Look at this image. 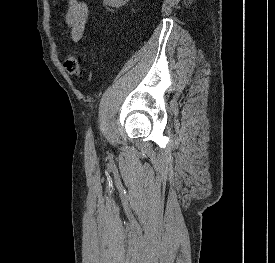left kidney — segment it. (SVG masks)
Wrapping results in <instances>:
<instances>
[{
    "mask_svg": "<svg viewBox=\"0 0 275 263\" xmlns=\"http://www.w3.org/2000/svg\"><path fill=\"white\" fill-rule=\"evenodd\" d=\"M127 1L129 0H104L107 5L117 8L123 6Z\"/></svg>",
    "mask_w": 275,
    "mask_h": 263,
    "instance_id": "5707ae66",
    "label": "left kidney"
}]
</instances>
